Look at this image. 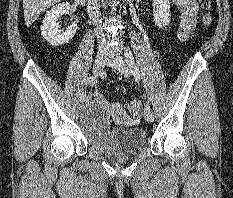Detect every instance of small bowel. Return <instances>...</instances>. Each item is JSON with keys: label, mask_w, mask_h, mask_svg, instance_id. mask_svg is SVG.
<instances>
[{"label": "small bowel", "mask_w": 233, "mask_h": 198, "mask_svg": "<svg viewBox=\"0 0 233 198\" xmlns=\"http://www.w3.org/2000/svg\"><path fill=\"white\" fill-rule=\"evenodd\" d=\"M179 9V30L180 39H186L194 30L198 17V6L196 0H173ZM96 99L102 100L99 93H96ZM114 111L122 115L123 111L119 105H113Z\"/></svg>", "instance_id": "1"}]
</instances>
